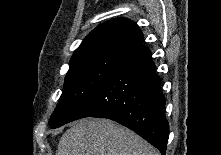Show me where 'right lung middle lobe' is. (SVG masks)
<instances>
[{
    "mask_svg": "<svg viewBox=\"0 0 221 155\" xmlns=\"http://www.w3.org/2000/svg\"><path fill=\"white\" fill-rule=\"evenodd\" d=\"M123 58L116 54H101L70 63L64 91L50 118L51 128L81 118L113 67Z\"/></svg>",
    "mask_w": 221,
    "mask_h": 155,
    "instance_id": "1",
    "label": "right lung middle lobe"
}]
</instances>
